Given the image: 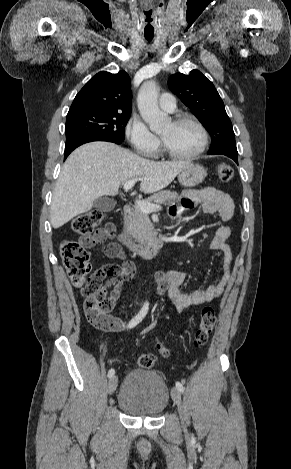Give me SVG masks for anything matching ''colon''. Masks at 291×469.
I'll use <instances>...</instances> for the list:
<instances>
[{
	"label": "colon",
	"instance_id": "1",
	"mask_svg": "<svg viewBox=\"0 0 291 469\" xmlns=\"http://www.w3.org/2000/svg\"><path fill=\"white\" fill-rule=\"evenodd\" d=\"M217 174L221 181L229 182L234 175L233 168L225 162L217 166ZM104 217L101 211L93 210L85 212L75 217L71 223L72 230L79 234V240L64 239L60 243V255L65 266L69 279L73 286L81 288L85 297L84 313L87 320L96 328L109 330L113 326L112 317L108 312L113 308L115 300L113 296L102 287V282L106 276H115L121 280H128L134 274V265L125 260L122 265L109 264L95 272H91L90 255L87 250L93 242L95 231ZM106 252L109 255H119L120 247L115 243H108ZM115 282H118L113 279ZM216 324L215 312L210 307H205L201 311L199 324L193 338V345L200 349L208 342L209 336ZM156 347L163 356H168V349L160 342ZM156 361V356L152 353H143L138 359L142 368H151Z\"/></svg>",
	"mask_w": 291,
	"mask_h": 469
}]
</instances>
